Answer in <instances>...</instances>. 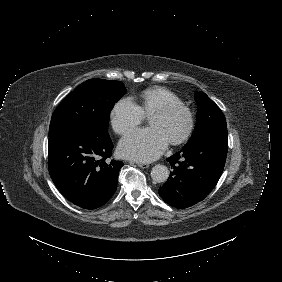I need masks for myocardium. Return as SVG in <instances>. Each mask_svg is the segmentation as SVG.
Instances as JSON below:
<instances>
[{
  "instance_id": "1",
  "label": "myocardium",
  "mask_w": 282,
  "mask_h": 282,
  "mask_svg": "<svg viewBox=\"0 0 282 282\" xmlns=\"http://www.w3.org/2000/svg\"><path fill=\"white\" fill-rule=\"evenodd\" d=\"M174 113H181L185 118V125L182 132L177 137L169 140L171 144L177 145L186 141L192 133L194 119L190 109L181 103H167L154 110L149 116H168Z\"/></svg>"
}]
</instances>
